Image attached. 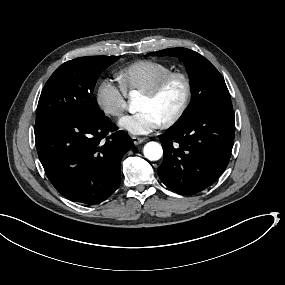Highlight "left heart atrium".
I'll list each match as a JSON object with an SVG mask.
<instances>
[{
	"mask_svg": "<svg viewBox=\"0 0 285 285\" xmlns=\"http://www.w3.org/2000/svg\"><path fill=\"white\" fill-rule=\"evenodd\" d=\"M158 123L156 115L143 102L136 103L132 114L119 122L124 129L134 134H148Z\"/></svg>",
	"mask_w": 285,
	"mask_h": 285,
	"instance_id": "obj_1",
	"label": "left heart atrium"
}]
</instances>
